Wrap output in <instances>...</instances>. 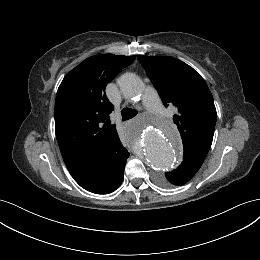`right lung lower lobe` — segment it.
<instances>
[{"label": "right lung lower lobe", "mask_w": 260, "mask_h": 260, "mask_svg": "<svg viewBox=\"0 0 260 260\" xmlns=\"http://www.w3.org/2000/svg\"><path fill=\"white\" fill-rule=\"evenodd\" d=\"M128 157L129 152L125 150L115 160L76 181L82 188L92 193H111L116 190L123 181L125 164Z\"/></svg>", "instance_id": "1"}]
</instances>
